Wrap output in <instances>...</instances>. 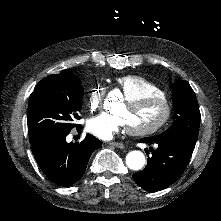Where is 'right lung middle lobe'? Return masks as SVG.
Masks as SVG:
<instances>
[{
    "mask_svg": "<svg viewBox=\"0 0 221 221\" xmlns=\"http://www.w3.org/2000/svg\"><path fill=\"white\" fill-rule=\"evenodd\" d=\"M83 87L69 70L43 78L31 93L28 106L29 142L67 135L80 119Z\"/></svg>",
    "mask_w": 221,
    "mask_h": 221,
    "instance_id": "right-lung-middle-lobe-1",
    "label": "right lung middle lobe"
}]
</instances>
